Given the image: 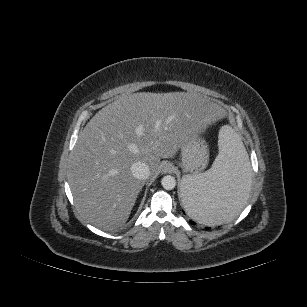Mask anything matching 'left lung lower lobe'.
Instances as JSON below:
<instances>
[{
  "label": "left lung lower lobe",
  "mask_w": 307,
  "mask_h": 307,
  "mask_svg": "<svg viewBox=\"0 0 307 307\" xmlns=\"http://www.w3.org/2000/svg\"><path fill=\"white\" fill-rule=\"evenodd\" d=\"M243 175V171L239 170L235 173V186L233 189L229 190L225 193V195L221 199V206L220 209L225 215H230L232 213H236L241 205V200L239 193L237 191L238 182ZM184 207V206H183ZM185 209V208H184ZM186 211V210H185ZM192 225H195L194 221H190ZM208 229V228H206Z\"/></svg>",
  "instance_id": "0a47b994"
}]
</instances>
